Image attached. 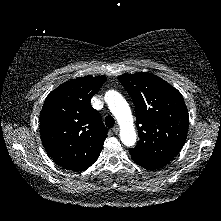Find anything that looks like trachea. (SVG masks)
<instances>
[{"mask_svg":"<svg viewBox=\"0 0 221 221\" xmlns=\"http://www.w3.org/2000/svg\"><path fill=\"white\" fill-rule=\"evenodd\" d=\"M105 124L108 128H112L115 124V120L111 115L105 117Z\"/></svg>","mask_w":221,"mask_h":221,"instance_id":"3493384b","label":"trachea"}]
</instances>
